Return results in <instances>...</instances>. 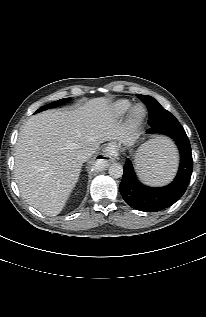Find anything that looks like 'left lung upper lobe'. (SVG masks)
Returning a JSON list of instances; mask_svg holds the SVG:
<instances>
[{
  "label": "left lung upper lobe",
  "mask_w": 206,
  "mask_h": 317,
  "mask_svg": "<svg viewBox=\"0 0 206 317\" xmlns=\"http://www.w3.org/2000/svg\"><path fill=\"white\" fill-rule=\"evenodd\" d=\"M146 104L149 111L150 133H159L165 130H184L179 121L167 110H165L153 97L138 95Z\"/></svg>",
  "instance_id": "5c2ea615"
}]
</instances>
